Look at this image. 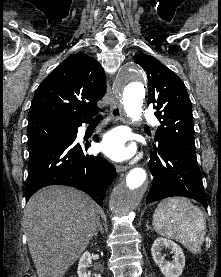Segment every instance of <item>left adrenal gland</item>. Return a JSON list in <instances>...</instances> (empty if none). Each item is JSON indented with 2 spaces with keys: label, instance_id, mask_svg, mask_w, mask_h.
Returning a JSON list of instances; mask_svg holds the SVG:
<instances>
[{
  "label": "left adrenal gland",
  "instance_id": "a2214340",
  "mask_svg": "<svg viewBox=\"0 0 221 277\" xmlns=\"http://www.w3.org/2000/svg\"><path fill=\"white\" fill-rule=\"evenodd\" d=\"M147 230L150 229L151 227L149 226L148 222L146 224Z\"/></svg>",
  "mask_w": 221,
  "mask_h": 277
}]
</instances>
